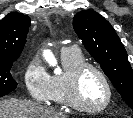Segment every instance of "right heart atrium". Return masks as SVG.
<instances>
[{
  "instance_id": "d8ad5b80",
  "label": "right heart atrium",
  "mask_w": 133,
  "mask_h": 118,
  "mask_svg": "<svg viewBox=\"0 0 133 118\" xmlns=\"http://www.w3.org/2000/svg\"><path fill=\"white\" fill-rule=\"evenodd\" d=\"M23 79L29 96L38 103L51 100V76L37 58H32L25 66Z\"/></svg>"
}]
</instances>
